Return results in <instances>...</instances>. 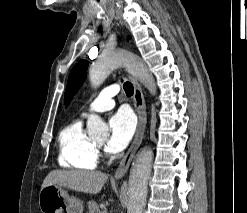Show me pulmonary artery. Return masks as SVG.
<instances>
[{
    "label": "pulmonary artery",
    "instance_id": "1",
    "mask_svg": "<svg viewBox=\"0 0 247 213\" xmlns=\"http://www.w3.org/2000/svg\"><path fill=\"white\" fill-rule=\"evenodd\" d=\"M119 92L117 85H111L102 90L100 95L90 104L88 109L82 113V116H87L89 112H103L114 107L115 102L113 97Z\"/></svg>",
    "mask_w": 247,
    "mask_h": 213
}]
</instances>
